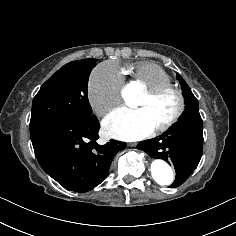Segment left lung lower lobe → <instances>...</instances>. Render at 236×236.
I'll return each instance as SVG.
<instances>
[{
	"label": "left lung lower lobe",
	"mask_w": 236,
	"mask_h": 236,
	"mask_svg": "<svg viewBox=\"0 0 236 236\" xmlns=\"http://www.w3.org/2000/svg\"><path fill=\"white\" fill-rule=\"evenodd\" d=\"M137 148L152 158L173 164L175 181L169 186L175 188L186 181L197 167L203 149L202 122H177L172 129L158 138L142 141Z\"/></svg>",
	"instance_id": "obj_1"
}]
</instances>
